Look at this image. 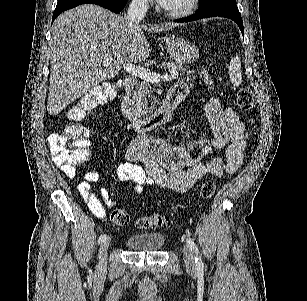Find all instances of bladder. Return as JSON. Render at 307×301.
Instances as JSON below:
<instances>
[{"label":"bladder","mask_w":307,"mask_h":301,"mask_svg":"<svg viewBox=\"0 0 307 301\" xmlns=\"http://www.w3.org/2000/svg\"><path fill=\"white\" fill-rule=\"evenodd\" d=\"M126 245L129 251H159L164 245V236L159 233L129 236Z\"/></svg>","instance_id":"31cf9c89"}]
</instances>
